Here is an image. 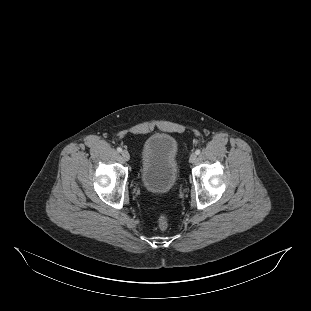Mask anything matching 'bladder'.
I'll list each match as a JSON object with an SVG mask.
<instances>
[{"mask_svg": "<svg viewBox=\"0 0 311 311\" xmlns=\"http://www.w3.org/2000/svg\"><path fill=\"white\" fill-rule=\"evenodd\" d=\"M180 176L179 148L176 139L163 132L145 139L140 151L138 178L142 187L163 194L177 184Z\"/></svg>", "mask_w": 311, "mask_h": 311, "instance_id": "31cf9c89", "label": "bladder"}]
</instances>
